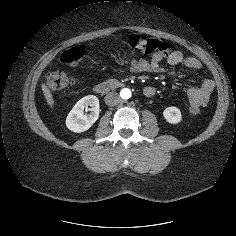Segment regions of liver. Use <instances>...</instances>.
Here are the masks:
<instances>
[{
  "label": "liver",
  "instance_id": "obj_1",
  "mask_svg": "<svg viewBox=\"0 0 236 236\" xmlns=\"http://www.w3.org/2000/svg\"><path fill=\"white\" fill-rule=\"evenodd\" d=\"M41 87H42V91L44 93V96H45V99H46L48 105L51 108H53L54 107V98L51 93V90L45 85V83H42Z\"/></svg>",
  "mask_w": 236,
  "mask_h": 236
}]
</instances>
